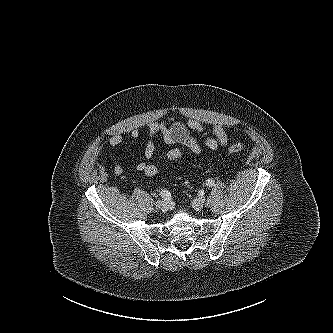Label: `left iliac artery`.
<instances>
[{
	"label": "left iliac artery",
	"instance_id": "left-iliac-artery-1",
	"mask_svg": "<svg viewBox=\"0 0 333 333\" xmlns=\"http://www.w3.org/2000/svg\"><path fill=\"white\" fill-rule=\"evenodd\" d=\"M206 185H207L208 187H212V186L215 185V181H214L213 179H208V180L206 181Z\"/></svg>",
	"mask_w": 333,
	"mask_h": 333
}]
</instances>
